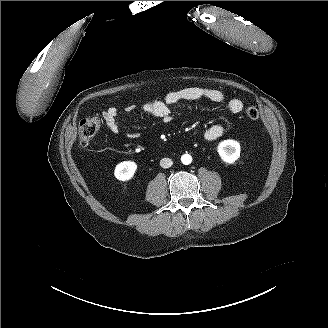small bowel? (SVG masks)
<instances>
[{
  "label": "small bowel",
  "mask_w": 328,
  "mask_h": 328,
  "mask_svg": "<svg viewBox=\"0 0 328 328\" xmlns=\"http://www.w3.org/2000/svg\"><path fill=\"white\" fill-rule=\"evenodd\" d=\"M200 99H207L213 103L224 104L227 109L233 113L238 114L242 112L244 108L243 102L238 98L227 99L225 94L213 88L203 87H187L177 91H171L167 93L163 98H156L145 102L141 109L146 114L161 119L164 123H168L172 120L173 111L172 105L180 101H196ZM136 106L134 104H128L124 111L125 113L134 112ZM103 120L107 128L114 134L118 133L119 128V112L116 107H109L102 113ZM223 127L221 125H213L209 127L205 133L204 138L207 141H215L223 135ZM129 138H135V134H128Z\"/></svg>",
  "instance_id": "1"
}]
</instances>
